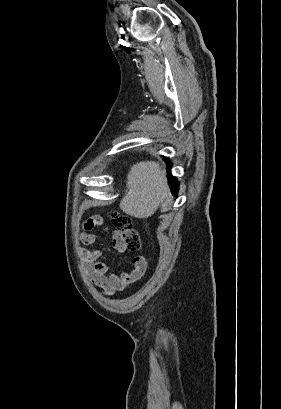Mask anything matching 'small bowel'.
I'll list each match as a JSON object with an SVG mask.
<instances>
[{
	"label": "small bowel",
	"mask_w": 281,
	"mask_h": 409,
	"mask_svg": "<svg viewBox=\"0 0 281 409\" xmlns=\"http://www.w3.org/2000/svg\"><path fill=\"white\" fill-rule=\"evenodd\" d=\"M104 224V220L96 215L89 216L88 222H82L80 225L83 232L81 235L82 244H94L96 241L95 235H102ZM113 237V250L121 252L123 250V240L118 237L117 233H114ZM78 253L92 282L99 286L103 294L107 296L124 291L133 282H139L146 272L147 264L141 256L133 258V270L131 272H123L121 275H117L115 272L109 271L108 266L102 261L103 254L100 250L79 248Z\"/></svg>",
	"instance_id": "obj_1"
}]
</instances>
